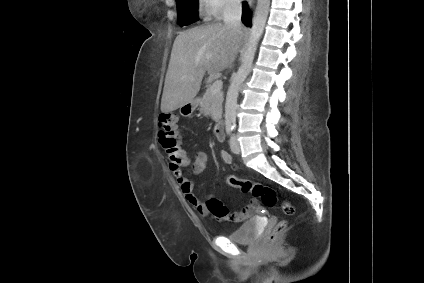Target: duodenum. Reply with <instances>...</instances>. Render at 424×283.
Listing matches in <instances>:
<instances>
[{
  "mask_svg": "<svg viewBox=\"0 0 424 283\" xmlns=\"http://www.w3.org/2000/svg\"><path fill=\"white\" fill-rule=\"evenodd\" d=\"M223 129H224V122L223 120L220 119L215 123V126H214V135L218 141H221L223 138Z\"/></svg>",
  "mask_w": 424,
  "mask_h": 283,
  "instance_id": "duodenum-1",
  "label": "duodenum"
}]
</instances>
